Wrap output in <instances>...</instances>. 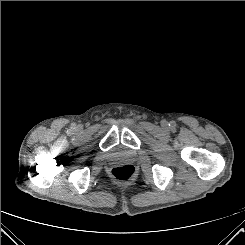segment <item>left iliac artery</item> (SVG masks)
I'll return each instance as SVG.
<instances>
[{"mask_svg": "<svg viewBox=\"0 0 245 245\" xmlns=\"http://www.w3.org/2000/svg\"><path fill=\"white\" fill-rule=\"evenodd\" d=\"M171 127H172V128L174 127V122H171Z\"/></svg>", "mask_w": 245, "mask_h": 245, "instance_id": "obj_1", "label": "left iliac artery"}]
</instances>
